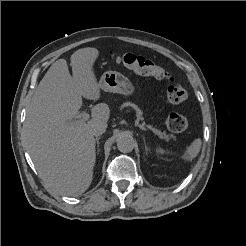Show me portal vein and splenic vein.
Instances as JSON below:
<instances>
[{"instance_id": "18ae733b", "label": "portal vein and splenic vein", "mask_w": 246, "mask_h": 246, "mask_svg": "<svg viewBox=\"0 0 246 246\" xmlns=\"http://www.w3.org/2000/svg\"><path fill=\"white\" fill-rule=\"evenodd\" d=\"M76 118L80 121L85 122L89 119V114L87 112H83L80 115L76 116ZM138 127L144 131H148V129L152 130L151 127H147V126L145 127L144 124H138Z\"/></svg>"}]
</instances>
